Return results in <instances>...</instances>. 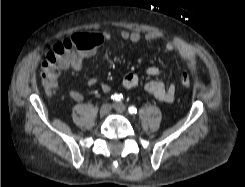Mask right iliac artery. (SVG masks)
I'll return each instance as SVG.
<instances>
[{"label":"right iliac artery","mask_w":245,"mask_h":187,"mask_svg":"<svg viewBox=\"0 0 245 187\" xmlns=\"http://www.w3.org/2000/svg\"><path fill=\"white\" fill-rule=\"evenodd\" d=\"M111 98L113 99V101L121 102L123 100V95L122 94H114L111 96Z\"/></svg>","instance_id":"right-iliac-artery-1"}]
</instances>
